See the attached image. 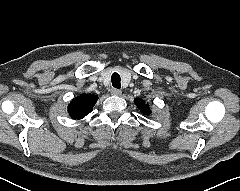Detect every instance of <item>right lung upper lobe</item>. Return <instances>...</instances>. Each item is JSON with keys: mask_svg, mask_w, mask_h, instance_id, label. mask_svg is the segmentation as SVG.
<instances>
[{"mask_svg": "<svg viewBox=\"0 0 240 191\" xmlns=\"http://www.w3.org/2000/svg\"><path fill=\"white\" fill-rule=\"evenodd\" d=\"M97 99L96 95L82 94L70 102L68 106L69 115L73 119H82L92 111Z\"/></svg>", "mask_w": 240, "mask_h": 191, "instance_id": "cb5924a9", "label": "right lung upper lobe"}]
</instances>
